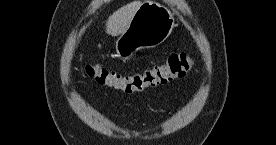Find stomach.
<instances>
[{"instance_id": "0dacf381", "label": "stomach", "mask_w": 276, "mask_h": 145, "mask_svg": "<svg viewBox=\"0 0 276 145\" xmlns=\"http://www.w3.org/2000/svg\"><path fill=\"white\" fill-rule=\"evenodd\" d=\"M174 26L175 19L167 7L153 0H145L134 14L129 27L116 40L117 56L128 60L141 49L160 45L172 33Z\"/></svg>"}]
</instances>
